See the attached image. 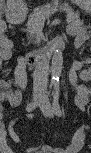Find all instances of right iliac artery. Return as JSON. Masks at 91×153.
<instances>
[{
  "label": "right iliac artery",
  "mask_w": 91,
  "mask_h": 153,
  "mask_svg": "<svg viewBox=\"0 0 91 153\" xmlns=\"http://www.w3.org/2000/svg\"><path fill=\"white\" fill-rule=\"evenodd\" d=\"M36 107V105L34 103H30L27 105L26 111L27 112H31L32 110H34Z\"/></svg>",
  "instance_id": "82829eb1"
}]
</instances>
